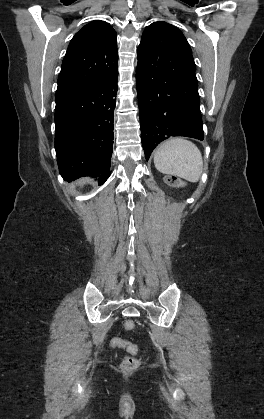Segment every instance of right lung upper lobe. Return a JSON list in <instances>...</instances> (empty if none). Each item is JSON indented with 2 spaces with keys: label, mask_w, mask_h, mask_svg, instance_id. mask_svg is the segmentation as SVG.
Here are the masks:
<instances>
[{
  "label": "right lung upper lobe",
  "mask_w": 264,
  "mask_h": 419,
  "mask_svg": "<svg viewBox=\"0 0 264 419\" xmlns=\"http://www.w3.org/2000/svg\"><path fill=\"white\" fill-rule=\"evenodd\" d=\"M116 31L105 21L85 25L71 40L58 77L56 93L104 81L118 72Z\"/></svg>",
  "instance_id": "1"
}]
</instances>
